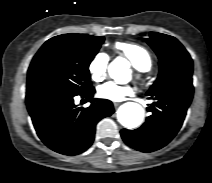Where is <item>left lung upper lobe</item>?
Segmentation results:
<instances>
[{
	"label": "left lung upper lobe",
	"mask_w": 212,
	"mask_h": 183,
	"mask_svg": "<svg viewBox=\"0 0 212 183\" xmlns=\"http://www.w3.org/2000/svg\"><path fill=\"white\" fill-rule=\"evenodd\" d=\"M145 41L159 58V75L149 91L175 80L192 77V59L176 38L166 34L150 32L149 38Z\"/></svg>",
	"instance_id": "1"
}]
</instances>
